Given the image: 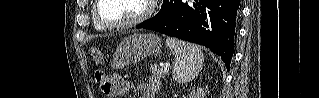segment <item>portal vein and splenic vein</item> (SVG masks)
I'll return each instance as SVG.
<instances>
[{
  "mask_svg": "<svg viewBox=\"0 0 319 98\" xmlns=\"http://www.w3.org/2000/svg\"><path fill=\"white\" fill-rule=\"evenodd\" d=\"M162 66V68L164 69V70H169V64H162L161 65Z\"/></svg>",
  "mask_w": 319,
  "mask_h": 98,
  "instance_id": "1",
  "label": "portal vein and splenic vein"
}]
</instances>
